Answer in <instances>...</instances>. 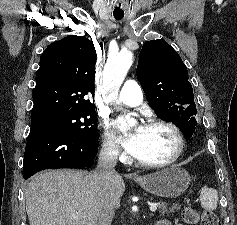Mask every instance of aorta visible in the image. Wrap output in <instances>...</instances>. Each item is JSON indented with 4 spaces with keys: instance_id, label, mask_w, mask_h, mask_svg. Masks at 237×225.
<instances>
[{
    "instance_id": "762f6f07",
    "label": "aorta",
    "mask_w": 237,
    "mask_h": 225,
    "mask_svg": "<svg viewBox=\"0 0 237 225\" xmlns=\"http://www.w3.org/2000/svg\"><path fill=\"white\" fill-rule=\"evenodd\" d=\"M133 61V53L128 50L120 51L117 55L108 58L103 71V87L110 99L118 95L120 86ZM130 125L135 120L127 118Z\"/></svg>"
}]
</instances>
